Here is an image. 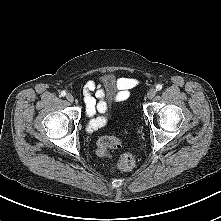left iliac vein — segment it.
I'll use <instances>...</instances> for the list:
<instances>
[{"mask_svg": "<svg viewBox=\"0 0 221 221\" xmlns=\"http://www.w3.org/2000/svg\"><path fill=\"white\" fill-rule=\"evenodd\" d=\"M156 95V90L154 88L150 89L148 94H147V97L148 99H153Z\"/></svg>", "mask_w": 221, "mask_h": 221, "instance_id": "4c4485c4", "label": "left iliac vein"}]
</instances>
